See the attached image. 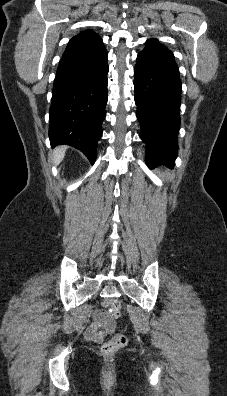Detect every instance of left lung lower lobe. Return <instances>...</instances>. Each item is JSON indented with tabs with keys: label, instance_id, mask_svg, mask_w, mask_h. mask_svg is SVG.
<instances>
[{
	"label": "left lung lower lobe",
	"instance_id": "left-lung-lower-lobe-1",
	"mask_svg": "<svg viewBox=\"0 0 227 396\" xmlns=\"http://www.w3.org/2000/svg\"><path fill=\"white\" fill-rule=\"evenodd\" d=\"M137 119L150 166L172 167L180 127L181 81L172 52L156 39L146 42L134 69Z\"/></svg>",
	"mask_w": 227,
	"mask_h": 396
}]
</instances>
